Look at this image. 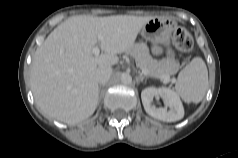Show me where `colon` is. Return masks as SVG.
Segmentation results:
<instances>
[{"instance_id":"obj_1","label":"colon","mask_w":238,"mask_h":158,"mask_svg":"<svg viewBox=\"0 0 238 158\" xmlns=\"http://www.w3.org/2000/svg\"><path fill=\"white\" fill-rule=\"evenodd\" d=\"M176 48L183 53H191L194 50V43L191 35L184 28H177L172 37Z\"/></svg>"}]
</instances>
